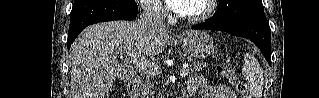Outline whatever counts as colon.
Wrapping results in <instances>:
<instances>
[{
    "label": "colon",
    "mask_w": 319,
    "mask_h": 98,
    "mask_svg": "<svg viewBox=\"0 0 319 98\" xmlns=\"http://www.w3.org/2000/svg\"><path fill=\"white\" fill-rule=\"evenodd\" d=\"M217 71L221 76H223L224 78H226L232 83L236 91L243 98H251V95L248 91L247 84L244 81L238 80L234 74V71L231 68L225 65H219L217 67ZM114 96H115V89H110L108 91V97L112 98Z\"/></svg>",
    "instance_id": "1"
}]
</instances>
